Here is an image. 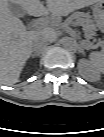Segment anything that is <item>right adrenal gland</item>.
Here are the masks:
<instances>
[{"instance_id":"right-adrenal-gland-1","label":"right adrenal gland","mask_w":104,"mask_h":137,"mask_svg":"<svg viewBox=\"0 0 104 137\" xmlns=\"http://www.w3.org/2000/svg\"><path fill=\"white\" fill-rule=\"evenodd\" d=\"M39 56V53H34L31 55L32 58H35V57H38Z\"/></svg>"}]
</instances>
